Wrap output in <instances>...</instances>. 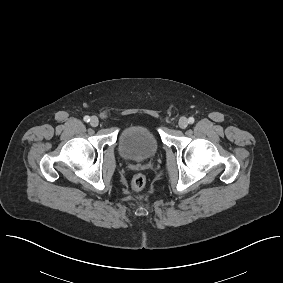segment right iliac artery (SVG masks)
<instances>
[{"instance_id": "obj_1", "label": "right iliac artery", "mask_w": 283, "mask_h": 283, "mask_svg": "<svg viewBox=\"0 0 283 283\" xmlns=\"http://www.w3.org/2000/svg\"><path fill=\"white\" fill-rule=\"evenodd\" d=\"M84 121H85V122H89V121H90V117H89V116H85V117H84Z\"/></svg>"}]
</instances>
